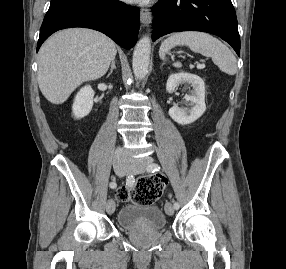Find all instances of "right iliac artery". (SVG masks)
<instances>
[{
  "instance_id": "right-iliac-artery-1",
  "label": "right iliac artery",
  "mask_w": 286,
  "mask_h": 269,
  "mask_svg": "<svg viewBox=\"0 0 286 269\" xmlns=\"http://www.w3.org/2000/svg\"><path fill=\"white\" fill-rule=\"evenodd\" d=\"M126 184L128 186H132L134 184V176L131 173L127 174V176H126ZM116 186H117V184L115 182L110 183V188L114 189V188H116Z\"/></svg>"
}]
</instances>
